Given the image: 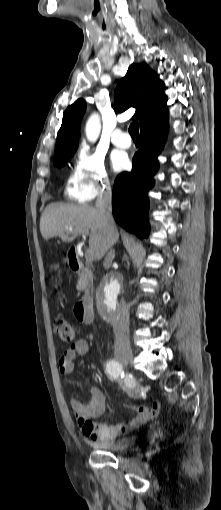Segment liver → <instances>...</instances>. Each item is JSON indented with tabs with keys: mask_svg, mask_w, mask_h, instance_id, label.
<instances>
[{
	"mask_svg": "<svg viewBox=\"0 0 221 510\" xmlns=\"http://www.w3.org/2000/svg\"><path fill=\"white\" fill-rule=\"evenodd\" d=\"M40 231L45 240L60 237L64 242L72 241L81 231L85 232L89 237V248L94 251L97 260L106 254L110 243L114 244L119 237L118 232L116 236L110 237L97 208L85 204H49L42 213Z\"/></svg>",
	"mask_w": 221,
	"mask_h": 510,
	"instance_id": "6515ba94",
	"label": "liver"
}]
</instances>
